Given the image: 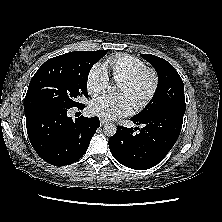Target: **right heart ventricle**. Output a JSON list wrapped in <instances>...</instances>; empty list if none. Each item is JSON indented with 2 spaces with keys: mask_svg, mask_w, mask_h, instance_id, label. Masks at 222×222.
Segmentation results:
<instances>
[{
  "mask_svg": "<svg viewBox=\"0 0 222 222\" xmlns=\"http://www.w3.org/2000/svg\"><path fill=\"white\" fill-rule=\"evenodd\" d=\"M104 67L109 70L115 82L121 83L145 68V63L137 57L119 54L108 58L104 62Z\"/></svg>",
  "mask_w": 222,
  "mask_h": 222,
  "instance_id": "right-heart-ventricle-1",
  "label": "right heart ventricle"
}]
</instances>
